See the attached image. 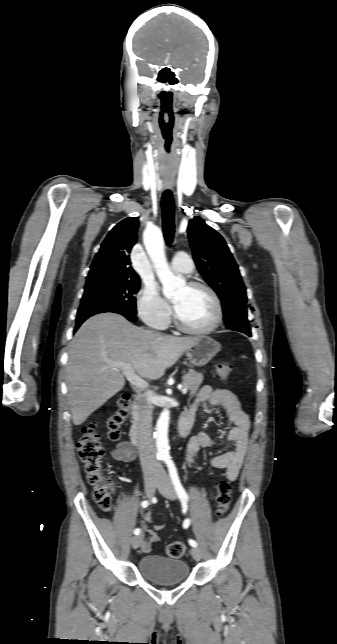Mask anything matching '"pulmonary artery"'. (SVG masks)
I'll return each mask as SVG.
<instances>
[{"label": "pulmonary artery", "instance_id": "pulmonary-artery-1", "mask_svg": "<svg viewBox=\"0 0 337 644\" xmlns=\"http://www.w3.org/2000/svg\"><path fill=\"white\" fill-rule=\"evenodd\" d=\"M171 267L175 272L190 273L193 270V263L186 253L180 252L173 257Z\"/></svg>", "mask_w": 337, "mask_h": 644}]
</instances>
